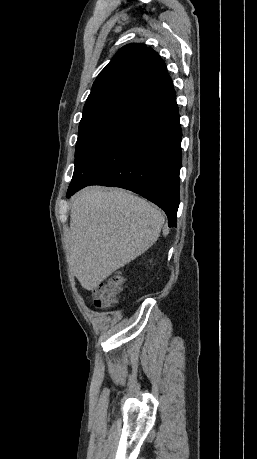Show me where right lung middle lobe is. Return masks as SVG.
Here are the masks:
<instances>
[{"mask_svg": "<svg viewBox=\"0 0 257 459\" xmlns=\"http://www.w3.org/2000/svg\"><path fill=\"white\" fill-rule=\"evenodd\" d=\"M135 113L131 109L112 107L84 114L79 124L73 175L99 154L123 123Z\"/></svg>", "mask_w": 257, "mask_h": 459, "instance_id": "dd1d6c3e", "label": "right lung middle lobe"}]
</instances>
